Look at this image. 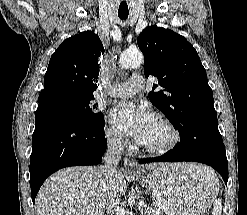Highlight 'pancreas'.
Returning <instances> with one entry per match:
<instances>
[{
    "mask_svg": "<svg viewBox=\"0 0 247 215\" xmlns=\"http://www.w3.org/2000/svg\"><path fill=\"white\" fill-rule=\"evenodd\" d=\"M141 215H163L160 210L149 207H140Z\"/></svg>",
    "mask_w": 247,
    "mask_h": 215,
    "instance_id": "1",
    "label": "pancreas"
}]
</instances>
